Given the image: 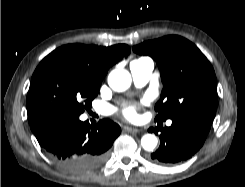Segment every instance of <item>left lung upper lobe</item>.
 I'll return each instance as SVG.
<instances>
[{"instance_id":"1","label":"left lung upper lobe","mask_w":245,"mask_h":187,"mask_svg":"<svg viewBox=\"0 0 245 187\" xmlns=\"http://www.w3.org/2000/svg\"><path fill=\"white\" fill-rule=\"evenodd\" d=\"M149 55L160 69L163 91L155 105V121L190 116L214 117L217 107L215 72L204 54L187 39L171 35L133 47Z\"/></svg>"}]
</instances>
